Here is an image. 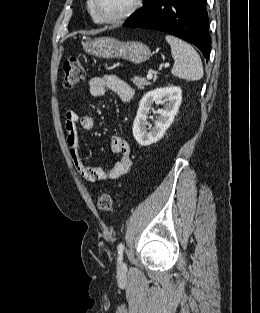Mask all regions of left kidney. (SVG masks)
Wrapping results in <instances>:
<instances>
[{"instance_id": "left-kidney-1", "label": "left kidney", "mask_w": 260, "mask_h": 313, "mask_svg": "<svg viewBox=\"0 0 260 313\" xmlns=\"http://www.w3.org/2000/svg\"><path fill=\"white\" fill-rule=\"evenodd\" d=\"M164 105L157 110V120L152 128H147L146 120L154 102ZM182 101L180 87L158 88L146 93L139 103L136 118L133 123V136L141 146H148L159 141L172 124Z\"/></svg>"}]
</instances>
